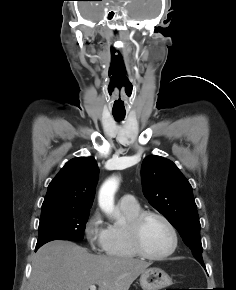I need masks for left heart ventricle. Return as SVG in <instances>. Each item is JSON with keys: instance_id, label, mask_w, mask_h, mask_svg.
<instances>
[{"instance_id": "1", "label": "left heart ventricle", "mask_w": 236, "mask_h": 290, "mask_svg": "<svg viewBox=\"0 0 236 290\" xmlns=\"http://www.w3.org/2000/svg\"><path fill=\"white\" fill-rule=\"evenodd\" d=\"M142 243L150 254H162L172 245V236L167 226L156 217H149L142 227Z\"/></svg>"}]
</instances>
